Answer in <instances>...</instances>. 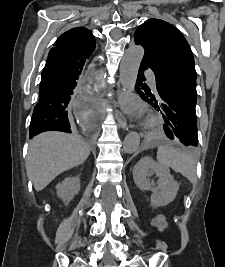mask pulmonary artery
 Wrapping results in <instances>:
<instances>
[{
    "mask_svg": "<svg viewBox=\"0 0 225 267\" xmlns=\"http://www.w3.org/2000/svg\"><path fill=\"white\" fill-rule=\"evenodd\" d=\"M146 75L148 77V80L150 82V85L153 89H156V83H155V74L151 70L146 71Z\"/></svg>",
    "mask_w": 225,
    "mask_h": 267,
    "instance_id": "pulmonary-artery-1",
    "label": "pulmonary artery"
}]
</instances>
